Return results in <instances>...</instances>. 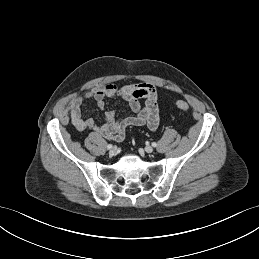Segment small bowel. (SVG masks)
<instances>
[{"label":"small bowel","instance_id":"small-bowel-1","mask_svg":"<svg viewBox=\"0 0 259 259\" xmlns=\"http://www.w3.org/2000/svg\"><path fill=\"white\" fill-rule=\"evenodd\" d=\"M114 97L123 98L134 115L120 118L115 109H109L105 112V122L101 126H97L92 118L84 116L82 107L85 101L92 99L100 109L104 110L105 100ZM69 111L70 120L78 131L92 130L99 136L116 142L124 140L129 127L147 126L151 131H155L159 126L157 93L148 83L123 86L108 84L97 87L84 95L71 97Z\"/></svg>","mask_w":259,"mask_h":259}]
</instances>
